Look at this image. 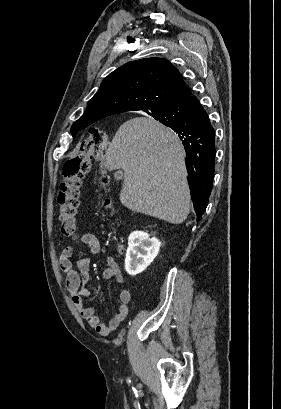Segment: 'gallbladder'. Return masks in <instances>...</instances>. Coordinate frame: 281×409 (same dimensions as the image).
Returning <instances> with one entry per match:
<instances>
[{
    "label": "gallbladder",
    "mask_w": 281,
    "mask_h": 409,
    "mask_svg": "<svg viewBox=\"0 0 281 409\" xmlns=\"http://www.w3.org/2000/svg\"><path fill=\"white\" fill-rule=\"evenodd\" d=\"M119 172H115L114 176H118ZM119 176H122L121 172L119 174Z\"/></svg>",
    "instance_id": "obj_1"
}]
</instances>
